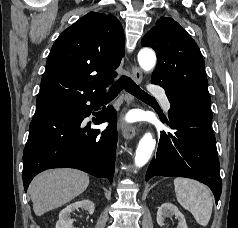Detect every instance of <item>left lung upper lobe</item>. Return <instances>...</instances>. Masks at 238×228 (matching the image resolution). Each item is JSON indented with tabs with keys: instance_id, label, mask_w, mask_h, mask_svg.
<instances>
[{
	"instance_id": "1",
	"label": "left lung upper lobe",
	"mask_w": 238,
	"mask_h": 228,
	"mask_svg": "<svg viewBox=\"0 0 238 228\" xmlns=\"http://www.w3.org/2000/svg\"><path fill=\"white\" fill-rule=\"evenodd\" d=\"M141 44L153 48L157 54L152 83L162 86L166 95L212 114L203 57L179 23L161 17Z\"/></svg>"
}]
</instances>
